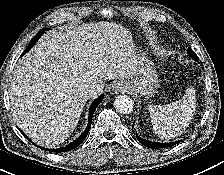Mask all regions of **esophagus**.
Listing matches in <instances>:
<instances>
[{
    "instance_id": "obj_1",
    "label": "esophagus",
    "mask_w": 224,
    "mask_h": 175,
    "mask_svg": "<svg viewBox=\"0 0 224 175\" xmlns=\"http://www.w3.org/2000/svg\"><path fill=\"white\" fill-rule=\"evenodd\" d=\"M125 86L122 83H117L115 85L112 86V94H119L120 92H122L124 90Z\"/></svg>"
}]
</instances>
